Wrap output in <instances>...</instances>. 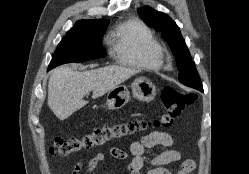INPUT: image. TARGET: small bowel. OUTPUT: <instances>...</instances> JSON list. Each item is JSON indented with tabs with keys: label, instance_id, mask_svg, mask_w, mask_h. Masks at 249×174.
<instances>
[{
	"label": "small bowel",
	"instance_id": "obj_1",
	"mask_svg": "<svg viewBox=\"0 0 249 174\" xmlns=\"http://www.w3.org/2000/svg\"><path fill=\"white\" fill-rule=\"evenodd\" d=\"M174 145L173 137L166 132L154 131L142 137L140 141L132 142L128 151H123L119 148L112 147L108 154L113 158L125 160L131 157V162L127 167L129 174H142L145 165L149 168L146 174H172L165 165L179 161L181 153L175 149L166 150L157 155H148L146 149L156 146L172 147ZM106 159V153H97L86 166L83 162H77L71 174H93L98 165ZM196 167L195 161L187 159L183 161L181 168L177 174H190Z\"/></svg>",
	"mask_w": 249,
	"mask_h": 174
}]
</instances>
